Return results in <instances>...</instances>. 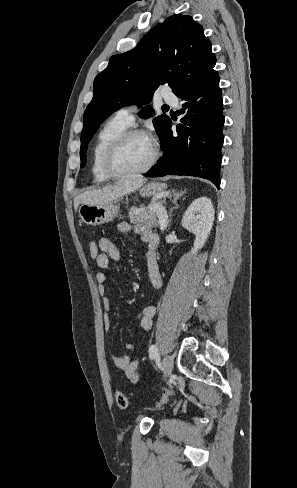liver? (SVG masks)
I'll use <instances>...</instances> for the list:
<instances>
[{"instance_id":"6515ba94","label":"liver","mask_w":297,"mask_h":488,"mask_svg":"<svg viewBox=\"0 0 297 488\" xmlns=\"http://www.w3.org/2000/svg\"><path fill=\"white\" fill-rule=\"evenodd\" d=\"M147 179L133 176L121 180L114 185L102 189L90 190L78 195L74 200L75 209L79 204H110L116 202L119 198L141 188Z\"/></svg>"}]
</instances>
